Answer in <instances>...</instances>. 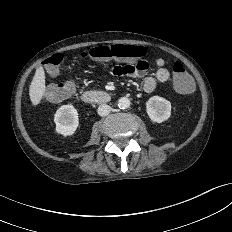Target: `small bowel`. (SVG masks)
<instances>
[{
	"label": "small bowel",
	"mask_w": 232,
	"mask_h": 232,
	"mask_svg": "<svg viewBox=\"0 0 232 232\" xmlns=\"http://www.w3.org/2000/svg\"><path fill=\"white\" fill-rule=\"evenodd\" d=\"M157 66V71L154 76L145 75L149 64L146 60H142L137 65H125V66H115L111 68L110 74L113 76H132V77H143V91L145 93H152L158 82L163 83L169 80L170 72L165 67V60L162 57H158L155 60ZM50 75L52 77L56 76Z\"/></svg>",
	"instance_id": "1"
}]
</instances>
